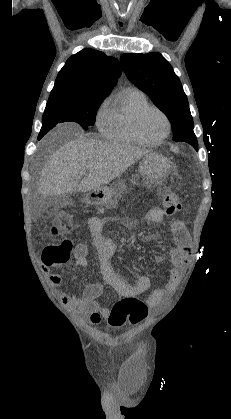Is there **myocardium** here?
<instances>
[{"instance_id":"obj_1","label":"myocardium","mask_w":231,"mask_h":419,"mask_svg":"<svg viewBox=\"0 0 231 419\" xmlns=\"http://www.w3.org/2000/svg\"><path fill=\"white\" fill-rule=\"evenodd\" d=\"M150 110H155L157 112H159L163 118L165 119L166 125H167V130L165 132V134L163 136H161L158 139L152 140L147 138L141 128V123H142V119L145 116V114L150 111ZM133 126H134V131L137 135V137L144 143L147 145H157L159 143H161L162 141H164L170 134L171 132V121L168 117V115L165 113L164 110H162L161 108H159L158 106L155 105H147L145 107H143L142 109H140L137 114L135 115L134 118V122H133Z\"/></svg>"}]
</instances>
